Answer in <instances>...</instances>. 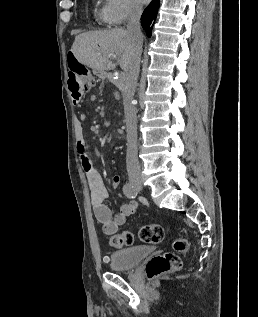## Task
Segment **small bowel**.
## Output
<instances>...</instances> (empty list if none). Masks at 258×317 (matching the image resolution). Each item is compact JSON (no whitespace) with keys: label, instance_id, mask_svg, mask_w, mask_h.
Returning <instances> with one entry per match:
<instances>
[{"label":"small bowel","instance_id":"obj_1","mask_svg":"<svg viewBox=\"0 0 258 317\" xmlns=\"http://www.w3.org/2000/svg\"><path fill=\"white\" fill-rule=\"evenodd\" d=\"M74 135L77 151L80 156L81 166L84 170L87 183L90 189L91 203L94 215L101 224L102 230L106 235H113L118 228L125 224L127 218L131 216L137 208L135 201H129L121 206L120 212L113 215L111 209L105 203L108 198V191L103 183L102 177L94 167L86 151L84 126L80 119L74 121ZM121 176L116 175L112 178V186L118 188L121 184Z\"/></svg>","mask_w":258,"mask_h":317}]
</instances>
